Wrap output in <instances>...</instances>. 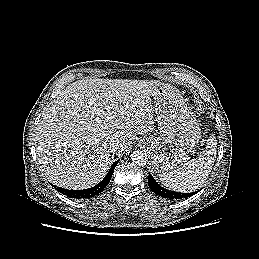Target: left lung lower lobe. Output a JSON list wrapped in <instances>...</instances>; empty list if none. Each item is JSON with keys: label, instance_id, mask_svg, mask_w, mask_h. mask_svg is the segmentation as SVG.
Instances as JSON below:
<instances>
[{"label": "left lung lower lobe", "instance_id": "obj_1", "mask_svg": "<svg viewBox=\"0 0 259 259\" xmlns=\"http://www.w3.org/2000/svg\"><path fill=\"white\" fill-rule=\"evenodd\" d=\"M148 185L155 194H157L161 197H164V198H169V199L186 198V197H190L198 192V191H196V192H192V193H178V192L167 190V189L161 187L155 181V179L152 177V175L150 173L148 176Z\"/></svg>", "mask_w": 259, "mask_h": 259}]
</instances>
